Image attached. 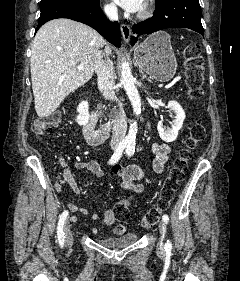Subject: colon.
Masks as SVG:
<instances>
[{
  "label": "colon",
  "mask_w": 240,
  "mask_h": 281,
  "mask_svg": "<svg viewBox=\"0 0 240 281\" xmlns=\"http://www.w3.org/2000/svg\"><path fill=\"white\" fill-rule=\"evenodd\" d=\"M184 76L185 84L191 98L198 99L202 95L203 86V60L200 55V47L197 43L189 42L184 48ZM61 123V113L54 112L44 119L36 120L33 126L34 132L42 136L57 127ZM205 137V126L203 122H196L190 129V133L185 140L184 147L175 158L168 175L166 176L160 191V196L156 205L151 208L142 218L143 227L153 226L159 219L161 213L165 211L174 197L179 183L183 180L187 169L191 153L196 145ZM115 219L121 223L128 221L130 210L126 201L117 202L113 208Z\"/></svg>",
  "instance_id": "1"
}]
</instances>
